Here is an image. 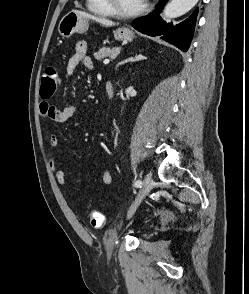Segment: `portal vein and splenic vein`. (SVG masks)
<instances>
[{"label": "portal vein and splenic vein", "instance_id": "18ae733b", "mask_svg": "<svg viewBox=\"0 0 249 294\" xmlns=\"http://www.w3.org/2000/svg\"><path fill=\"white\" fill-rule=\"evenodd\" d=\"M110 62V60L109 59H105L104 61H103V63L106 65V64H108Z\"/></svg>", "mask_w": 249, "mask_h": 294}]
</instances>
